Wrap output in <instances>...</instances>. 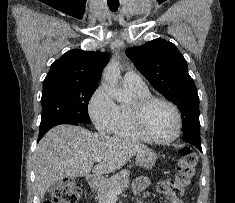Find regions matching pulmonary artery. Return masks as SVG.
<instances>
[{"label":"pulmonary artery","mask_w":235,"mask_h":203,"mask_svg":"<svg viewBox=\"0 0 235 203\" xmlns=\"http://www.w3.org/2000/svg\"><path fill=\"white\" fill-rule=\"evenodd\" d=\"M123 83L126 86L136 89H147V86L141 76L134 71H128L123 77Z\"/></svg>","instance_id":"pulmonary-artery-1"}]
</instances>
